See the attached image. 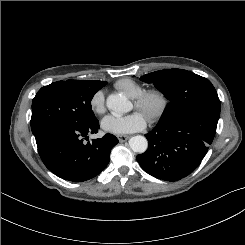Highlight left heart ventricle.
<instances>
[{"label":"left heart ventricle","mask_w":245,"mask_h":245,"mask_svg":"<svg viewBox=\"0 0 245 245\" xmlns=\"http://www.w3.org/2000/svg\"><path fill=\"white\" fill-rule=\"evenodd\" d=\"M152 107H155V104H153ZM141 113L145 116V114L143 112H141Z\"/></svg>","instance_id":"1"}]
</instances>
